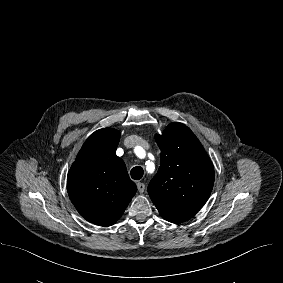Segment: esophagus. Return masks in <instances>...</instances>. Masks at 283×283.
<instances>
[{
    "instance_id": "esophagus-1",
    "label": "esophagus",
    "mask_w": 283,
    "mask_h": 283,
    "mask_svg": "<svg viewBox=\"0 0 283 283\" xmlns=\"http://www.w3.org/2000/svg\"><path fill=\"white\" fill-rule=\"evenodd\" d=\"M137 189H138V191H139L140 193H143V192L145 191V189H146V186H145L144 183L138 182V183H137Z\"/></svg>"
}]
</instances>
